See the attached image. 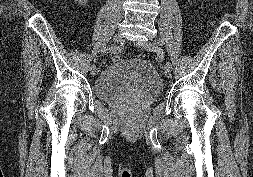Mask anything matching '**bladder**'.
I'll return each instance as SVG.
<instances>
[{"label":"bladder","instance_id":"bladder-1","mask_svg":"<svg viewBox=\"0 0 253 177\" xmlns=\"http://www.w3.org/2000/svg\"><path fill=\"white\" fill-rule=\"evenodd\" d=\"M94 94L106 102L129 98L144 104L155 101L163 91V83L154 67L135 59L118 60L96 77Z\"/></svg>","mask_w":253,"mask_h":177}]
</instances>
